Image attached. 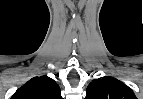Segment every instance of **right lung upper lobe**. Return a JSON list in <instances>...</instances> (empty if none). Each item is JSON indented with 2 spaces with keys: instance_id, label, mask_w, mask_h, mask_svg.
<instances>
[{
  "instance_id": "cb5924a9",
  "label": "right lung upper lobe",
  "mask_w": 143,
  "mask_h": 99,
  "mask_svg": "<svg viewBox=\"0 0 143 99\" xmlns=\"http://www.w3.org/2000/svg\"><path fill=\"white\" fill-rule=\"evenodd\" d=\"M11 99H62V97L55 80L48 76H40L26 82Z\"/></svg>"
}]
</instances>
